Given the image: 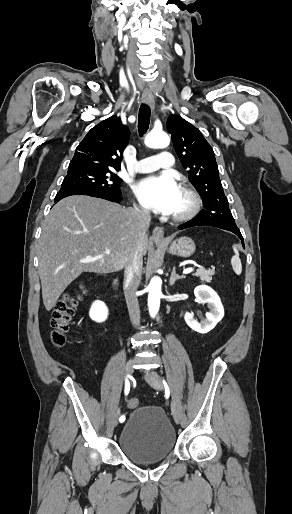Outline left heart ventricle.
<instances>
[{"instance_id":"1","label":"left heart ventricle","mask_w":292,"mask_h":514,"mask_svg":"<svg viewBox=\"0 0 292 514\" xmlns=\"http://www.w3.org/2000/svg\"><path fill=\"white\" fill-rule=\"evenodd\" d=\"M186 205H187L186 199H185L184 195L181 193L174 212H179V211L184 210Z\"/></svg>"}]
</instances>
